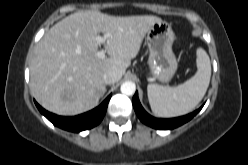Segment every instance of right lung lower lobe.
Segmentation results:
<instances>
[{
  "label": "right lung lower lobe",
  "mask_w": 248,
  "mask_h": 165,
  "mask_svg": "<svg viewBox=\"0 0 248 165\" xmlns=\"http://www.w3.org/2000/svg\"><path fill=\"white\" fill-rule=\"evenodd\" d=\"M111 98V95H109L98 107L95 109L78 115L74 117H62L55 114H52L45 109H43L40 105H38L36 102V106L39 109V111L55 126L60 127L62 129L72 131V132H80L83 130H88L96 125H98L101 120L103 119L108 102Z\"/></svg>",
  "instance_id": "98d812e1"
}]
</instances>
